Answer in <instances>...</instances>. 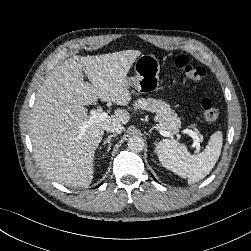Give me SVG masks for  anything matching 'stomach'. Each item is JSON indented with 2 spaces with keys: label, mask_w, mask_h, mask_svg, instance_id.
Masks as SVG:
<instances>
[{
  "label": "stomach",
  "mask_w": 251,
  "mask_h": 251,
  "mask_svg": "<svg viewBox=\"0 0 251 251\" xmlns=\"http://www.w3.org/2000/svg\"><path fill=\"white\" fill-rule=\"evenodd\" d=\"M135 76L126 77L125 84L141 94L155 92L159 87V60L152 54H143L134 65Z\"/></svg>",
  "instance_id": "0dacf381"
}]
</instances>
